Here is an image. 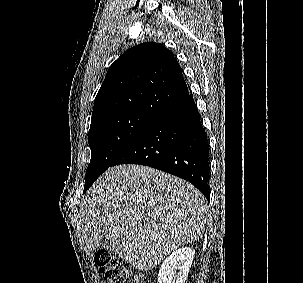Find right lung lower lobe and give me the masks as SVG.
Segmentation results:
<instances>
[{
    "label": "right lung lower lobe",
    "instance_id": "1",
    "mask_svg": "<svg viewBox=\"0 0 303 283\" xmlns=\"http://www.w3.org/2000/svg\"><path fill=\"white\" fill-rule=\"evenodd\" d=\"M119 164L146 165L178 176L209 200V145L193 97L158 113L112 166Z\"/></svg>",
    "mask_w": 303,
    "mask_h": 283
}]
</instances>
